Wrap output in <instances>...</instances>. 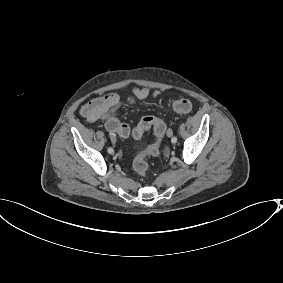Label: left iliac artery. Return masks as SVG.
<instances>
[{"label": "left iliac artery", "instance_id": "44dca946", "mask_svg": "<svg viewBox=\"0 0 283 283\" xmlns=\"http://www.w3.org/2000/svg\"><path fill=\"white\" fill-rule=\"evenodd\" d=\"M171 141H172V143H176L177 142V137H172V139H171Z\"/></svg>", "mask_w": 283, "mask_h": 283}]
</instances>
